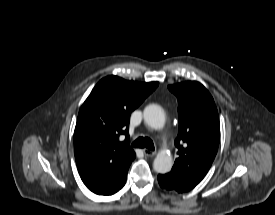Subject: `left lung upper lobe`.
<instances>
[{
  "label": "left lung upper lobe",
  "instance_id": "obj_1",
  "mask_svg": "<svg viewBox=\"0 0 275 215\" xmlns=\"http://www.w3.org/2000/svg\"><path fill=\"white\" fill-rule=\"evenodd\" d=\"M178 98L179 157L172 169L201 181L210 169L220 141L217 108L208 90L199 82L168 86Z\"/></svg>",
  "mask_w": 275,
  "mask_h": 215
}]
</instances>
